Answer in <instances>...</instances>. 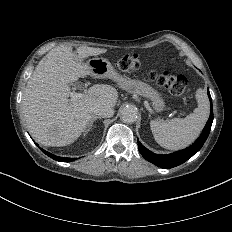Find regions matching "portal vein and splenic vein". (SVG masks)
<instances>
[{"instance_id":"1","label":"portal vein and splenic vein","mask_w":232,"mask_h":232,"mask_svg":"<svg viewBox=\"0 0 232 232\" xmlns=\"http://www.w3.org/2000/svg\"><path fill=\"white\" fill-rule=\"evenodd\" d=\"M83 94L81 93H71V98H81ZM147 109L150 110V107L147 106Z\"/></svg>"}]
</instances>
